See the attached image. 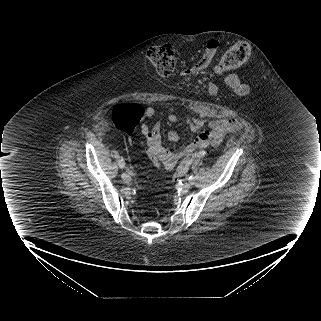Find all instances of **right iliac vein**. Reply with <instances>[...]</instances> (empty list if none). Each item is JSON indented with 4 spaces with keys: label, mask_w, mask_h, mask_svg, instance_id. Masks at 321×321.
Wrapping results in <instances>:
<instances>
[{
    "label": "right iliac vein",
    "mask_w": 321,
    "mask_h": 321,
    "mask_svg": "<svg viewBox=\"0 0 321 321\" xmlns=\"http://www.w3.org/2000/svg\"><path fill=\"white\" fill-rule=\"evenodd\" d=\"M121 177L124 180V182H126V183H129L131 181L130 176L126 173H123Z\"/></svg>",
    "instance_id": "63e3f726"
}]
</instances>
